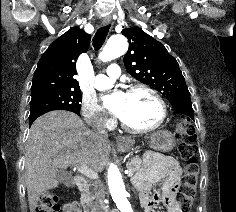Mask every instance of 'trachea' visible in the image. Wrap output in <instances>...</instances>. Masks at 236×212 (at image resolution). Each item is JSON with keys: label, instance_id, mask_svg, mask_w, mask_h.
Segmentation results:
<instances>
[{"label": "trachea", "instance_id": "3493384b", "mask_svg": "<svg viewBox=\"0 0 236 212\" xmlns=\"http://www.w3.org/2000/svg\"><path fill=\"white\" fill-rule=\"evenodd\" d=\"M110 29V24L99 28L93 38V47L95 50H99L104 44L107 34Z\"/></svg>", "mask_w": 236, "mask_h": 212}]
</instances>
